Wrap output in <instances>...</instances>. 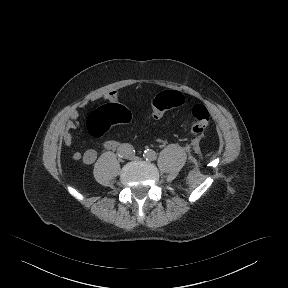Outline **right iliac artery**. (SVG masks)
Masks as SVG:
<instances>
[{"mask_svg": "<svg viewBox=\"0 0 288 288\" xmlns=\"http://www.w3.org/2000/svg\"><path fill=\"white\" fill-rule=\"evenodd\" d=\"M124 149H125V148L120 147V148L118 149V152H119V153H123ZM119 155H120V154H119Z\"/></svg>", "mask_w": 288, "mask_h": 288, "instance_id": "1", "label": "right iliac artery"}]
</instances>
